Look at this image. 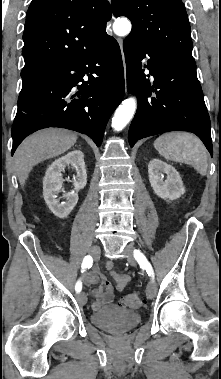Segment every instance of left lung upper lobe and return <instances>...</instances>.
I'll return each instance as SVG.
<instances>
[{
    "label": "left lung upper lobe",
    "mask_w": 221,
    "mask_h": 379,
    "mask_svg": "<svg viewBox=\"0 0 221 379\" xmlns=\"http://www.w3.org/2000/svg\"><path fill=\"white\" fill-rule=\"evenodd\" d=\"M112 10L114 16L131 20L130 35L167 57L195 65L191 29L181 0H112Z\"/></svg>",
    "instance_id": "1"
}]
</instances>
